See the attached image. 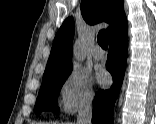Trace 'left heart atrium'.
<instances>
[{"label":"left heart atrium","mask_w":156,"mask_h":124,"mask_svg":"<svg viewBox=\"0 0 156 124\" xmlns=\"http://www.w3.org/2000/svg\"><path fill=\"white\" fill-rule=\"evenodd\" d=\"M96 77H97L98 82L101 85H107L110 82L109 74L105 70H103V69H99L97 71Z\"/></svg>","instance_id":"1"}]
</instances>
